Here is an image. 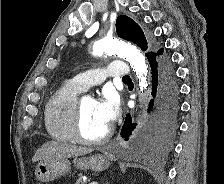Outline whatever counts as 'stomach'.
<instances>
[{
    "instance_id": "0dacf381",
    "label": "stomach",
    "mask_w": 224,
    "mask_h": 184,
    "mask_svg": "<svg viewBox=\"0 0 224 184\" xmlns=\"http://www.w3.org/2000/svg\"><path fill=\"white\" fill-rule=\"evenodd\" d=\"M74 165L81 170H92L101 172L109 168L110 161L106 155L94 154L89 157L74 159ZM71 162L67 158L41 161L35 169V176L38 181L50 182L69 172Z\"/></svg>"
}]
</instances>
